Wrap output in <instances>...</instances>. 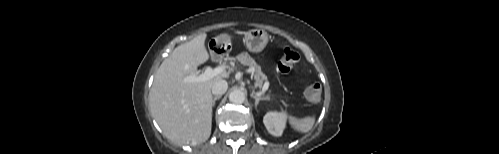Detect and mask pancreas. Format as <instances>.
Masks as SVG:
<instances>
[{"mask_svg":"<svg viewBox=\"0 0 499 154\" xmlns=\"http://www.w3.org/2000/svg\"><path fill=\"white\" fill-rule=\"evenodd\" d=\"M237 60L241 64L249 66L250 72L253 75L257 86L262 87L263 82L268 83L267 76L262 73L260 66L257 65L255 60L248 53H241L238 55Z\"/></svg>","mask_w":499,"mask_h":154,"instance_id":"cf45deb5","label":"pancreas"}]
</instances>
